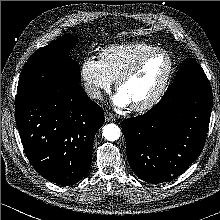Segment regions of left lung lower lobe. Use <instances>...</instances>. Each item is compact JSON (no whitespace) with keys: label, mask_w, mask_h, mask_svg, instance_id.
<instances>
[{"label":"left lung lower lobe","mask_w":220,"mask_h":220,"mask_svg":"<svg viewBox=\"0 0 220 220\" xmlns=\"http://www.w3.org/2000/svg\"><path fill=\"white\" fill-rule=\"evenodd\" d=\"M211 110V87H201L161 99L145 114L124 120L126 153L134 173L153 184L183 173L203 149Z\"/></svg>","instance_id":"1"}]
</instances>
